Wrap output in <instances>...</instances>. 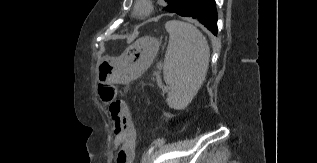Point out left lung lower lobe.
Wrapping results in <instances>:
<instances>
[{
    "label": "left lung lower lobe",
    "instance_id": "left-lung-lower-lobe-1",
    "mask_svg": "<svg viewBox=\"0 0 317 163\" xmlns=\"http://www.w3.org/2000/svg\"><path fill=\"white\" fill-rule=\"evenodd\" d=\"M180 16L193 17L217 34V11L215 0H182L174 11Z\"/></svg>",
    "mask_w": 317,
    "mask_h": 163
}]
</instances>
